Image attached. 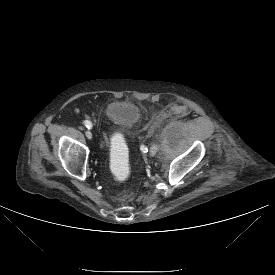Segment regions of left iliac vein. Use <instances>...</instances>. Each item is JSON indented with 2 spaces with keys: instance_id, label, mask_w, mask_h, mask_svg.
Returning <instances> with one entry per match:
<instances>
[{
  "instance_id": "1",
  "label": "left iliac vein",
  "mask_w": 275,
  "mask_h": 275,
  "mask_svg": "<svg viewBox=\"0 0 275 275\" xmlns=\"http://www.w3.org/2000/svg\"><path fill=\"white\" fill-rule=\"evenodd\" d=\"M158 151V145L154 143L150 148V155L154 156Z\"/></svg>"
}]
</instances>
